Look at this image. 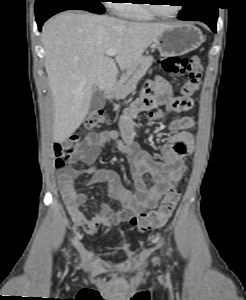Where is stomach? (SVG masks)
I'll list each match as a JSON object with an SVG mask.
<instances>
[{
	"label": "stomach",
	"mask_w": 246,
	"mask_h": 300,
	"mask_svg": "<svg viewBox=\"0 0 246 300\" xmlns=\"http://www.w3.org/2000/svg\"><path fill=\"white\" fill-rule=\"evenodd\" d=\"M204 41L199 28L190 23H177L165 29L154 45L164 56H180L197 49ZM110 96L115 97L114 91Z\"/></svg>",
	"instance_id": "stomach-1"
}]
</instances>
